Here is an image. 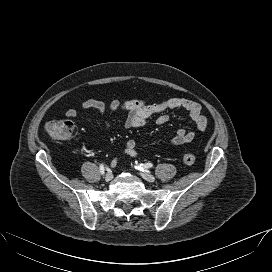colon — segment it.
<instances>
[{"instance_id": "5ec220e1", "label": "colon", "mask_w": 272, "mask_h": 272, "mask_svg": "<svg viewBox=\"0 0 272 272\" xmlns=\"http://www.w3.org/2000/svg\"><path fill=\"white\" fill-rule=\"evenodd\" d=\"M46 131L53 139L68 140L75 134V125L67 119L54 120L46 125ZM183 162L191 165L195 162V156L191 153H186L183 155Z\"/></svg>"}]
</instances>
